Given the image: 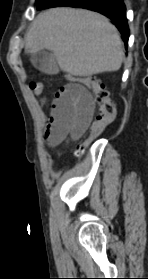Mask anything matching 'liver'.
Wrapping results in <instances>:
<instances>
[{
  "instance_id": "1",
  "label": "liver",
  "mask_w": 148,
  "mask_h": 279,
  "mask_svg": "<svg viewBox=\"0 0 148 279\" xmlns=\"http://www.w3.org/2000/svg\"><path fill=\"white\" fill-rule=\"evenodd\" d=\"M50 50L62 71L87 77L120 69L124 52L109 20L83 9L53 8L41 13L25 38V52Z\"/></svg>"
}]
</instances>
